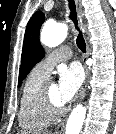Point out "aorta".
<instances>
[{
  "mask_svg": "<svg viewBox=\"0 0 116 134\" xmlns=\"http://www.w3.org/2000/svg\"><path fill=\"white\" fill-rule=\"evenodd\" d=\"M67 37V26L62 23H47L42 29L40 40L41 43L48 47H56L61 44ZM86 116V108L79 104L70 114L65 134H80L84 119Z\"/></svg>",
  "mask_w": 116,
  "mask_h": 134,
  "instance_id": "obj_1",
  "label": "aorta"
}]
</instances>
